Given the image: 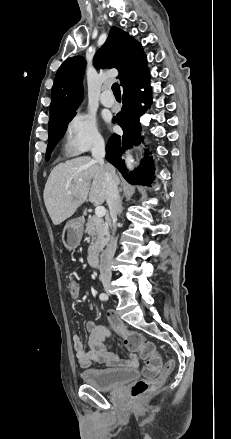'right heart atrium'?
I'll return each instance as SVG.
<instances>
[{
  "instance_id": "d8ad5b80",
  "label": "right heart atrium",
  "mask_w": 231,
  "mask_h": 439,
  "mask_svg": "<svg viewBox=\"0 0 231 439\" xmlns=\"http://www.w3.org/2000/svg\"><path fill=\"white\" fill-rule=\"evenodd\" d=\"M104 139L96 120L88 114H76L67 123L65 130V150L76 156L93 149L104 147Z\"/></svg>"
}]
</instances>
